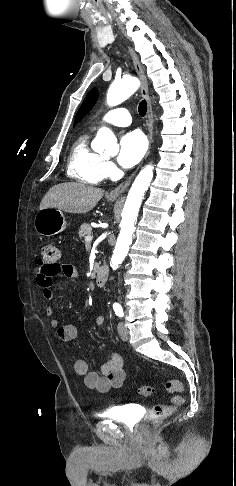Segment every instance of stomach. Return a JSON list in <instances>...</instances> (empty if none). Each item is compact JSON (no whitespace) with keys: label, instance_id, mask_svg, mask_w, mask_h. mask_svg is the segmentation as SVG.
<instances>
[{"label":"stomach","instance_id":"obj_1","mask_svg":"<svg viewBox=\"0 0 236 486\" xmlns=\"http://www.w3.org/2000/svg\"><path fill=\"white\" fill-rule=\"evenodd\" d=\"M115 199H110L114 201ZM66 227L63 212L57 208L40 209L34 218L36 232L43 236H52L62 232Z\"/></svg>","mask_w":236,"mask_h":486}]
</instances>
